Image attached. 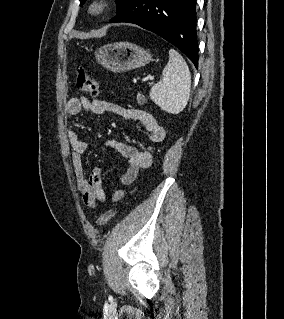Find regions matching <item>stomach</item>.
I'll list each match as a JSON object with an SVG mask.
<instances>
[{
	"label": "stomach",
	"mask_w": 284,
	"mask_h": 319,
	"mask_svg": "<svg viewBox=\"0 0 284 319\" xmlns=\"http://www.w3.org/2000/svg\"><path fill=\"white\" fill-rule=\"evenodd\" d=\"M96 60L113 72H123L142 67L152 61L149 51L130 42H114L95 51Z\"/></svg>",
	"instance_id": "obj_1"
}]
</instances>
